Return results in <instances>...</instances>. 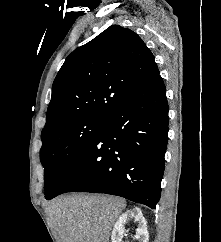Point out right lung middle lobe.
<instances>
[{"mask_svg":"<svg viewBox=\"0 0 221 242\" xmlns=\"http://www.w3.org/2000/svg\"><path fill=\"white\" fill-rule=\"evenodd\" d=\"M103 117H85L59 125L41 135L40 160L44 167L45 198L73 158L99 130Z\"/></svg>","mask_w":221,"mask_h":242,"instance_id":"1","label":"right lung middle lobe"}]
</instances>
